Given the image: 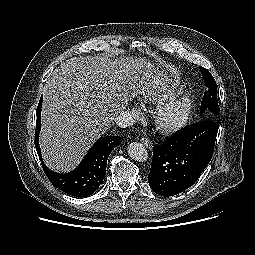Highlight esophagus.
<instances>
[{
    "instance_id": "1",
    "label": "esophagus",
    "mask_w": 255,
    "mask_h": 255,
    "mask_svg": "<svg viewBox=\"0 0 255 255\" xmlns=\"http://www.w3.org/2000/svg\"><path fill=\"white\" fill-rule=\"evenodd\" d=\"M141 142L144 146H146L148 149H152L153 147V142L146 137L141 138Z\"/></svg>"
}]
</instances>
